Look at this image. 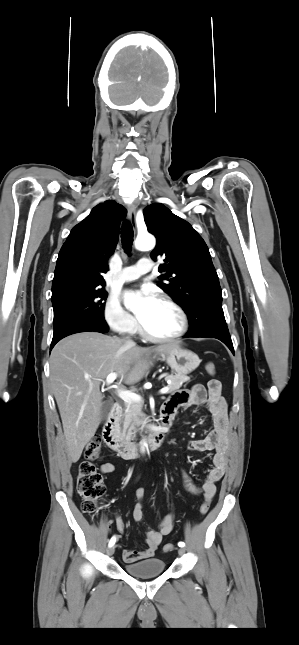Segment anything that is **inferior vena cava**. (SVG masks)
<instances>
[{"label": "inferior vena cava", "mask_w": 299, "mask_h": 645, "mask_svg": "<svg viewBox=\"0 0 299 645\" xmlns=\"http://www.w3.org/2000/svg\"><path fill=\"white\" fill-rule=\"evenodd\" d=\"M125 343L127 346H134L135 342L132 341L131 339L127 338L126 340L124 339Z\"/></svg>", "instance_id": "inferior-vena-cava-1"}]
</instances>
